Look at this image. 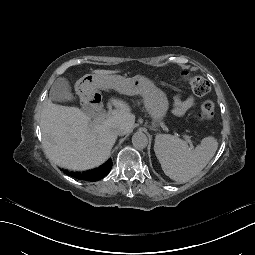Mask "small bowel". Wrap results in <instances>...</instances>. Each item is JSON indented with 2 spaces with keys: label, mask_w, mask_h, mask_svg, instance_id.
<instances>
[{
  "label": "small bowel",
  "mask_w": 255,
  "mask_h": 255,
  "mask_svg": "<svg viewBox=\"0 0 255 255\" xmlns=\"http://www.w3.org/2000/svg\"><path fill=\"white\" fill-rule=\"evenodd\" d=\"M195 104L194 98L193 97H189L185 102H183V104L180 106V112H184L186 110H188L189 108L193 107Z\"/></svg>",
  "instance_id": "small-bowel-1"
}]
</instances>
